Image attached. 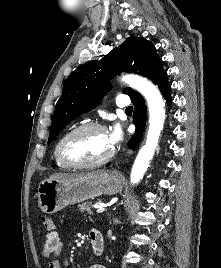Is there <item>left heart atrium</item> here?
<instances>
[{
	"mask_svg": "<svg viewBox=\"0 0 221 268\" xmlns=\"http://www.w3.org/2000/svg\"><path fill=\"white\" fill-rule=\"evenodd\" d=\"M107 134L112 147L120 143L123 137L122 130L119 125H114Z\"/></svg>",
	"mask_w": 221,
	"mask_h": 268,
	"instance_id": "39dd6f15",
	"label": "left heart atrium"
}]
</instances>
